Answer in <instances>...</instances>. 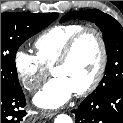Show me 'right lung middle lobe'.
Masks as SVG:
<instances>
[{"label": "right lung middle lobe", "instance_id": "1", "mask_svg": "<svg viewBox=\"0 0 123 123\" xmlns=\"http://www.w3.org/2000/svg\"><path fill=\"white\" fill-rule=\"evenodd\" d=\"M57 18L54 13L8 12L1 14V89L17 90L15 55L19 46Z\"/></svg>", "mask_w": 123, "mask_h": 123}]
</instances>
